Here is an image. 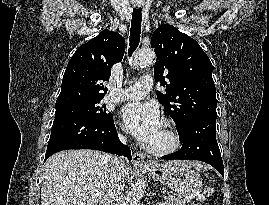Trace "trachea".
Wrapping results in <instances>:
<instances>
[{
	"instance_id": "obj_1",
	"label": "trachea",
	"mask_w": 269,
	"mask_h": 205,
	"mask_svg": "<svg viewBox=\"0 0 269 205\" xmlns=\"http://www.w3.org/2000/svg\"><path fill=\"white\" fill-rule=\"evenodd\" d=\"M141 22H142V10L141 8H134L132 13L131 30H130V43H129V56L136 50L140 42L141 34Z\"/></svg>"
}]
</instances>
